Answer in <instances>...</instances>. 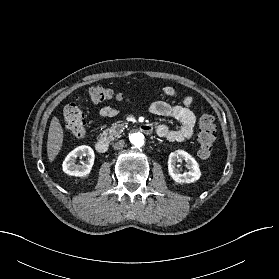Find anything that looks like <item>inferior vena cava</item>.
<instances>
[{
  "label": "inferior vena cava",
  "mask_w": 279,
  "mask_h": 279,
  "mask_svg": "<svg viewBox=\"0 0 279 279\" xmlns=\"http://www.w3.org/2000/svg\"><path fill=\"white\" fill-rule=\"evenodd\" d=\"M124 145H125L124 140H120V141L116 142L113 145V147H114V149L119 150V149H122L124 147Z\"/></svg>",
  "instance_id": "inferior-vena-cava-1"
}]
</instances>
